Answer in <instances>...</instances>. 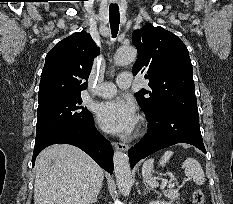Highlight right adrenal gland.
Masks as SVG:
<instances>
[{"label": "right adrenal gland", "mask_w": 233, "mask_h": 204, "mask_svg": "<svg viewBox=\"0 0 233 204\" xmlns=\"http://www.w3.org/2000/svg\"><path fill=\"white\" fill-rule=\"evenodd\" d=\"M98 195H99V192L95 195V197L93 198L91 204L97 202Z\"/></svg>", "instance_id": "1"}]
</instances>
